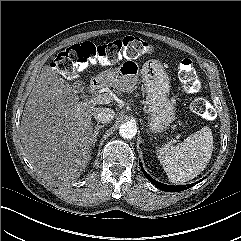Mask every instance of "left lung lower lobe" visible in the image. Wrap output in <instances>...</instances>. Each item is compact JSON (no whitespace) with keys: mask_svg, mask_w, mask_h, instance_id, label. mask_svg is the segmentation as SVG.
Masks as SVG:
<instances>
[{"mask_svg":"<svg viewBox=\"0 0 241 241\" xmlns=\"http://www.w3.org/2000/svg\"><path fill=\"white\" fill-rule=\"evenodd\" d=\"M140 167L142 169V172L144 173L145 177L153 184L155 185L157 188L163 190V191H167V192H178V191H183V190H186L188 188H191L193 187L194 184H197V183H194V184H188V185H178V186H174V185H166V184H162L156 180H154L151 176H149L145 170L142 168V165L140 163ZM205 179V178H203ZM203 179H201L199 182H201Z\"/></svg>","mask_w":241,"mask_h":241,"instance_id":"obj_1","label":"left lung lower lobe"}]
</instances>
